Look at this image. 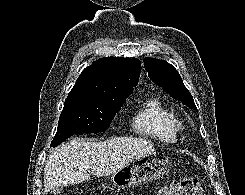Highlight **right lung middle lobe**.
I'll list each match as a JSON object with an SVG mask.
<instances>
[{
  "label": "right lung middle lobe",
  "instance_id": "obj_1",
  "mask_svg": "<svg viewBox=\"0 0 245 195\" xmlns=\"http://www.w3.org/2000/svg\"><path fill=\"white\" fill-rule=\"evenodd\" d=\"M89 95H68L59 118L58 129L51 147H55L74 134L103 132L124 104Z\"/></svg>",
  "mask_w": 245,
  "mask_h": 195
}]
</instances>
